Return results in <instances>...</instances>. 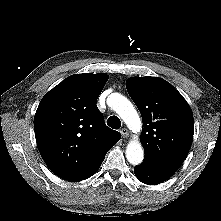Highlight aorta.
<instances>
[{"instance_id":"obj_1","label":"aorta","mask_w":221,"mask_h":221,"mask_svg":"<svg viewBox=\"0 0 221 221\" xmlns=\"http://www.w3.org/2000/svg\"><path fill=\"white\" fill-rule=\"evenodd\" d=\"M108 105L122 118L128 128L139 132L142 126L141 119L133 104L125 97L112 93L107 99ZM126 158L132 165H138L143 161L144 151L137 138L131 140L126 148Z\"/></svg>"}]
</instances>
